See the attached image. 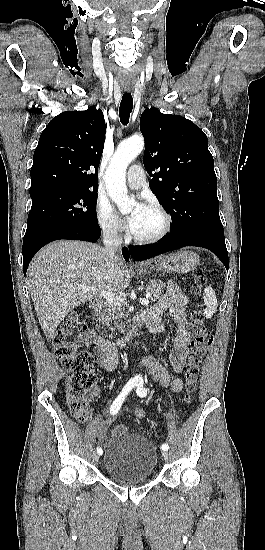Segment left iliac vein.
Returning <instances> with one entry per match:
<instances>
[{"instance_id": "obj_1", "label": "left iliac vein", "mask_w": 265, "mask_h": 550, "mask_svg": "<svg viewBox=\"0 0 265 550\" xmlns=\"http://www.w3.org/2000/svg\"><path fill=\"white\" fill-rule=\"evenodd\" d=\"M162 455H163V457H164L165 460H167V459L169 458V453H168L166 450H164V451L162 452Z\"/></svg>"}]
</instances>
